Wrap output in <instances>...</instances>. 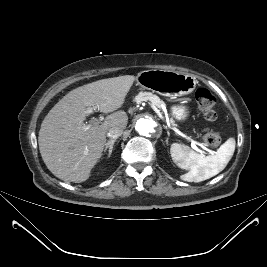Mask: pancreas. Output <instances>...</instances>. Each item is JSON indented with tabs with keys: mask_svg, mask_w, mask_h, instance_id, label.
Returning <instances> with one entry per match:
<instances>
[{
	"mask_svg": "<svg viewBox=\"0 0 267 267\" xmlns=\"http://www.w3.org/2000/svg\"><path fill=\"white\" fill-rule=\"evenodd\" d=\"M134 101L136 103H141L143 101L151 102L155 107L161 108L162 105H164V102L156 95L150 93V92H140L138 95L135 96ZM171 123H173V120H170Z\"/></svg>",
	"mask_w": 267,
	"mask_h": 267,
	"instance_id": "1",
	"label": "pancreas"
}]
</instances>
